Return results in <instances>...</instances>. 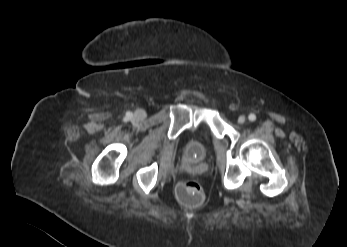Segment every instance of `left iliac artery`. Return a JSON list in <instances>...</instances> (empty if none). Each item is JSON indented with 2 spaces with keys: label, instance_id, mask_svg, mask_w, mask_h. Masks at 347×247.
Masks as SVG:
<instances>
[{
  "label": "left iliac artery",
  "instance_id": "1",
  "mask_svg": "<svg viewBox=\"0 0 347 247\" xmlns=\"http://www.w3.org/2000/svg\"><path fill=\"white\" fill-rule=\"evenodd\" d=\"M248 119H249V121H251V122L255 121V120H256L255 114H253V113L249 114Z\"/></svg>",
  "mask_w": 347,
  "mask_h": 247
}]
</instances>
